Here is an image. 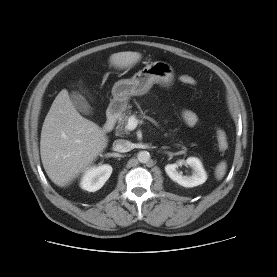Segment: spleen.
Returning <instances> with one entry per match:
<instances>
[{
    "label": "spleen",
    "instance_id": "obj_1",
    "mask_svg": "<svg viewBox=\"0 0 277 277\" xmlns=\"http://www.w3.org/2000/svg\"><path fill=\"white\" fill-rule=\"evenodd\" d=\"M226 169H227V164L225 161H221L215 168V176L217 180H221L225 173H226Z\"/></svg>",
    "mask_w": 277,
    "mask_h": 277
}]
</instances>
